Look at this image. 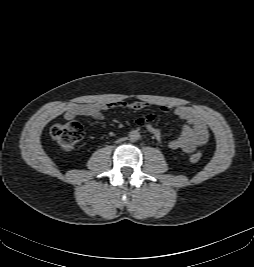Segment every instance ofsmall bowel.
Returning <instances> with one entry per match:
<instances>
[{"mask_svg":"<svg viewBox=\"0 0 254 267\" xmlns=\"http://www.w3.org/2000/svg\"><path fill=\"white\" fill-rule=\"evenodd\" d=\"M150 107L146 101H112L71 104L68 106L64 118L71 121L77 117H92L103 119L105 112L111 109H127L139 111ZM163 113H168L171 108L167 105L160 107ZM173 114L185 124L182 127L180 135L169 142V148L172 150H181L190 153L198 147L203 146L209 139L208 127L202 116L190 107L180 106L173 109ZM155 115L148 113L143 117L136 119V125L145 127L157 140H161V130L153 125Z\"/></svg>","mask_w":254,"mask_h":267,"instance_id":"c3829d8e","label":"small bowel"}]
</instances>
